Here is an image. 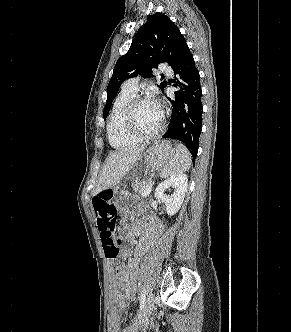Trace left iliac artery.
I'll return each instance as SVG.
<instances>
[{
    "instance_id": "left-iliac-artery-1",
    "label": "left iliac artery",
    "mask_w": 291,
    "mask_h": 332,
    "mask_svg": "<svg viewBox=\"0 0 291 332\" xmlns=\"http://www.w3.org/2000/svg\"><path fill=\"white\" fill-rule=\"evenodd\" d=\"M145 298H146V289L143 287L141 295H140V312L144 309L145 307Z\"/></svg>"
}]
</instances>
